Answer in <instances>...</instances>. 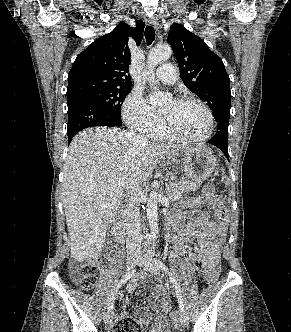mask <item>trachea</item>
Wrapping results in <instances>:
<instances>
[{
	"label": "trachea",
	"mask_w": 291,
	"mask_h": 332,
	"mask_svg": "<svg viewBox=\"0 0 291 332\" xmlns=\"http://www.w3.org/2000/svg\"><path fill=\"white\" fill-rule=\"evenodd\" d=\"M145 38L148 44H151L155 39V30L152 26L148 25L145 29Z\"/></svg>",
	"instance_id": "3493384b"
}]
</instances>
